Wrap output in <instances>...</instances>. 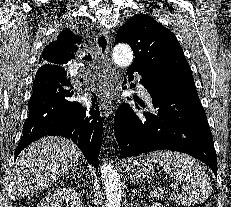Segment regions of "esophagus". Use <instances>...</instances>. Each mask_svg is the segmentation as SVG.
<instances>
[{
	"mask_svg": "<svg viewBox=\"0 0 231 207\" xmlns=\"http://www.w3.org/2000/svg\"><path fill=\"white\" fill-rule=\"evenodd\" d=\"M109 46V31L107 29H101L95 38V49L101 70V102L107 117L113 113L114 84L117 78L110 59Z\"/></svg>",
	"mask_w": 231,
	"mask_h": 207,
	"instance_id": "1",
	"label": "esophagus"
}]
</instances>
